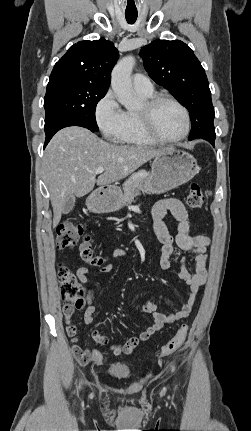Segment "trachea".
Returning <instances> with one entry per match:
<instances>
[{"instance_id":"obj_1","label":"trachea","mask_w":251,"mask_h":431,"mask_svg":"<svg viewBox=\"0 0 251 431\" xmlns=\"http://www.w3.org/2000/svg\"><path fill=\"white\" fill-rule=\"evenodd\" d=\"M125 18L129 24H133L137 19V14H125Z\"/></svg>"}]
</instances>
